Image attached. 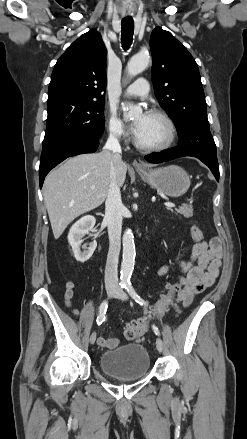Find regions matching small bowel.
Returning a JSON list of instances; mask_svg holds the SVG:
<instances>
[{
  "instance_id": "small-bowel-1",
  "label": "small bowel",
  "mask_w": 247,
  "mask_h": 439,
  "mask_svg": "<svg viewBox=\"0 0 247 439\" xmlns=\"http://www.w3.org/2000/svg\"><path fill=\"white\" fill-rule=\"evenodd\" d=\"M188 259H183L182 255L177 257L178 275L177 279L182 288L176 293V302L173 307L179 311L178 303L187 306L193 298L210 287L219 275L222 266V241L218 237L210 239L208 242L195 243L187 249ZM168 266H162L158 275L163 276L168 272ZM74 294V284L68 281L65 284L64 298L66 305L71 306V299ZM78 315L77 310H72ZM119 340L113 337H101L98 344L105 348H114Z\"/></svg>"
}]
</instances>
